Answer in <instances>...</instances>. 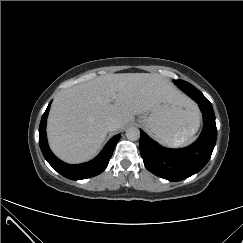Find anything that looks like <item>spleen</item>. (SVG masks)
<instances>
[{"instance_id":"3e777b00","label":"spleen","mask_w":243,"mask_h":243,"mask_svg":"<svg viewBox=\"0 0 243 243\" xmlns=\"http://www.w3.org/2000/svg\"><path fill=\"white\" fill-rule=\"evenodd\" d=\"M194 138H190L188 139L187 141H183V140H178V141H175L174 144L172 146H181L183 144H187L189 142H191Z\"/></svg>"}]
</instances>
